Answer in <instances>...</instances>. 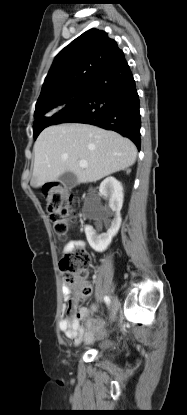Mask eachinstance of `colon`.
I'll return each instance as SVG.
<instances>
[{"mask_svg":"<svg viewBox=\"0 0 187 415\" xmlns=\"http://www.w3.org/2000/svg\"><path fill=\"white\" fill-rule=\"evenodd\" d=\"M44 193L54 231L61 239H65L68 231L78 224L72 190L61 182H50L45 185ZM89 264L90 257L81 248L71 250L60 261L71 293L78 298H86L92 292L91 284L84 278V271Z\"/></svg>","mask_w":187,"mask_h":415,"instance_id":"5ec220e1","label":"colon"}]
</instances>
